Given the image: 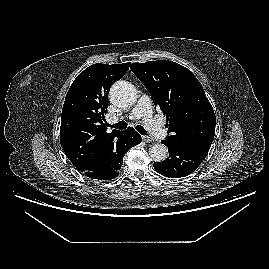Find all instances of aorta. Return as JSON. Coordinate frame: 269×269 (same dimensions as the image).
Masks as SVG:
<instances>
[{"mask_svg": "<svg viewBox=\"0 0 269 269\" xmlns=\"http://www.w3.org/2000/svg\"><path fill=\"white\" fill-rule=\"evenodd\" d=\"M137 98L136 90L132 84L126 81H118L113 84L110 90L111 102L119 107H128L135 103ZM168 148L161 143L154 144L149 155L155 162H162L167 158Z\"/></svg>", "mask_w": 269, "mask_h": 269, "instance_id": "762f6f07", "label": "aorta"}]
</instances>
